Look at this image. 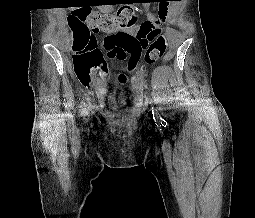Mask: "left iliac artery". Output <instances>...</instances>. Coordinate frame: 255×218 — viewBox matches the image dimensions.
Returning a JSON list of instances; mask_svg holds the SVG:
<instances>
[{"mask_svg": "<svg viewBox=\"0 0 255 218\" xmlns=\"http://www.w3.org/2000/svg\"><path fill=\"white\" fill-rule=\"evenodd\" d=\"M152 114H153V116L154 115L156 116L158 114L157 110L155 108H153V107H152Z\"/></svg>", "mask_w": 255, "mask_h": 218, "instance_id": "44dca946", "label": "left iliac artery"}]
</instances>
